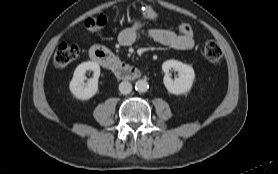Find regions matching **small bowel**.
Instances as JSON below:
<instances>
[{
  "label": "small bowel",
  "instance_id": "c3829d8e",
  "mask_svg": "<svg viewBox=\"0 0 278 174\" xmlns=\"http://www.w3.org/2000/svg\"><path fill=\"white\" fill-rule=\"evenodd\" d=\"M142 33H146L153 41L175 50H190L195 45L193 36H183L168 29L146 30L143 22L139 20L122 29L118 41L123 46H130Z\"/></svg>",
  "mask_w": 278,
  "mask_h": 174
}]
</instances>
